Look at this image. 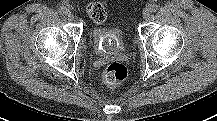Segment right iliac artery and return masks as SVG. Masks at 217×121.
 Wrapping results in <instances>:
<instances>
[{
  "label": "right iliac artery",
  "mask_w": 217,
  "mask_h": 121,
  "mask_svg": "<svg viewBox=\"0 0 217 121\" xmlns=\"http://www.w3.org/2000/svg\"><path fill=\"white\" fill-rule=\"evenodd\" d=\"M58 12H59L60 14H62V15H65V14L68 13V10H67L66 8H64V7H60V8L58 9Z\"/></svg>",
  "instance_id": "right-iliac-artery-1"
}]
</instances>
